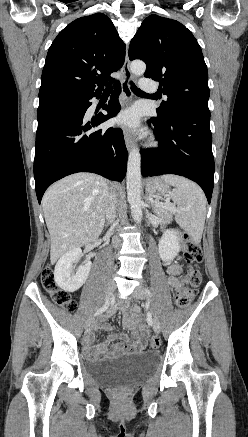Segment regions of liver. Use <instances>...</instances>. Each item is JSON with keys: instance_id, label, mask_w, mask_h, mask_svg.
<instances>
[{"instance_id": "liver-1", "label": "liver", "mask_w": 248, "mask_h": 437, "mask_svg": "<svg viewBox=\"0 0 248 437\" xmlns=\"http://www.w3.org/2000/svg\"><path fill=\"white\" fill-rule=\"evenodd\" d=\"M108 195L107 180L90 173L70 175L46 191L42 207L51 238L52 264L68 251L99 237L104 228Z\"/></svg>"}]
</instances>
